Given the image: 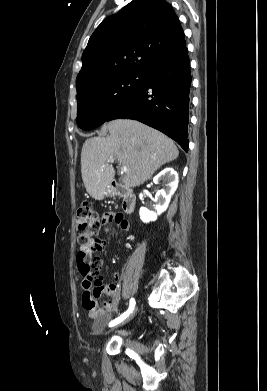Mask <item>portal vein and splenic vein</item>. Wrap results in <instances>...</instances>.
Wrapping results in <instances>:
<instances>
[{
    "label": "portal vein and splenic vein",
    "mask_w": 267,
    "mask_h": 391,
    "mask_svg": "<svg viewBox=\"0 0 267 391\" xmlns=\"http://www.w3.org/2000/svg\"><path fill=\"white\" fill-rule=\"evenodd\" d=\"M113 161H114L113 158L108 159V163H110V162L112 163ZM120 170H121V173H124V172H127L128 168H127V166H121Z\"/></svg>",
    "instance_id": "18ae733b"
}]
</instances>
